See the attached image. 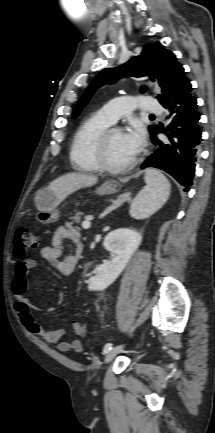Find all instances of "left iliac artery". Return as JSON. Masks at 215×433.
Wrapping results in <instances>:
<instances>
[{
    "mask_svg": "<svg viewBox=\"0 0 215 433\" xmlns=\"http://www.w3.org/2000/svg\"><path fill=\"white\" fill-rule=\"evenodd\" d=\"M111 348H112V344L111 343H107L104 346V349H103L104 353H107Z\"/></svg>",
    "mask_w": 215,
    "mask_h": 433,
    "instance_id": "obj_1",
    "label": "left iliac artery"
}]
</instances>
